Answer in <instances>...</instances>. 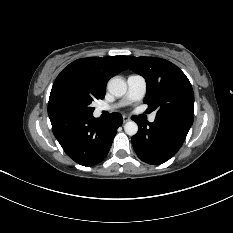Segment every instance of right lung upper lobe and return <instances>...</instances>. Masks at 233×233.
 <instances>
[{
	"label": "right lung upper lobe",
	"mask_w": 233,
	"mask_h": 233,
	"mask_svg": "<svg viewBox=\"0 0 233 233\" xmlns=\"http://www.w3.org/2000/svg\"><path fill=\"white\" fill-rule=\"evenodd\" d=\"M122 59V56L78 59L61 71L52 90L61 85H72L103 99L107 81L112 76L127 69Z\"/></svg>",
	"instance_id": "cb5924a9"
}]
</instances>
